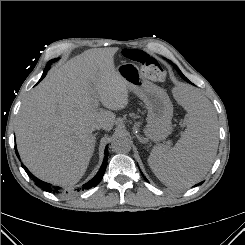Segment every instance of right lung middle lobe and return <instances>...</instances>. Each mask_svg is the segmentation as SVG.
I'll use <instances>...</instances> for the list:
<instances>
[{
	"mask_svg": "<svg viewBox=\"0 0 245 245\" xmlns=\"http://www.w3.org/2000/svg\"><path fill=\"white\" fill-rule=\"evenodd\" d=\"M58 59H54V60H52V62H55V61H57Z\"/></svg>",
	"mask_w": 245,
	"mask_h": 245,
	"instance_id": "right-lung-middle-lobe-1",
	"label": "right lung middle lobe"
}]
</instances>
